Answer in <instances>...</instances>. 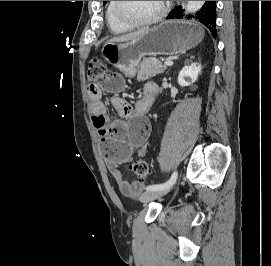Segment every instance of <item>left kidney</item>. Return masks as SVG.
Masks as SVG:
<instances>
[{
    "label": "left kidney",
    "mask_w": 271,
    "mask_h": 266,
    "mask_svg": "<svg viewBox=\"0 0 271 266\" xmlns=\"http://www.w3.org/2000/svg\"><path fill=\"white\" fill-rule=\"evenodd\" d=\"M201 69L202 66L197 63H192L190 66H185L178 75V84L184 87L194 83L197 80Z\"/></svg>",
    "instance_id": "obj_1"
}]
</instances>
